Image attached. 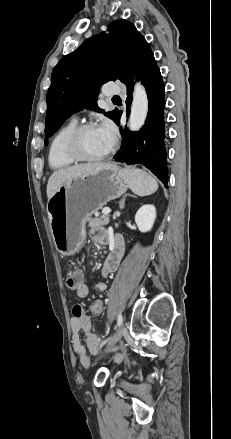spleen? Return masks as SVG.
I'll use <instances>...</instances> for the list:
<instances>
[{
  "mask_svg": "<svg viewBox=\"0 0 231 439\" xmlns=\"http://www.w3.org/2000/svg\"><path fill=\"white\" fill-rule=\"evenodd\" d=\"M122 174L128 184V187L139 196H148L158 189V183L154 177L141 169L122 170Z\"/></svg>",
  "mask_w": 231,
  "mask_h": 439,
  "instance_id": "3e777b00",
  "label": "spleen"
}]
</instances>
